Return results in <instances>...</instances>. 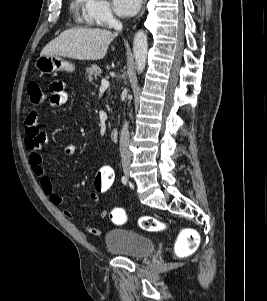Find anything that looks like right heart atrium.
<instances>
[{
	"instance_id": "1",
	"label": "right heart atrium",
	"mask_w": 267,
	"mask_h": 301,
	"mask_svg": "<svg viewBox=\"0 0 267 301\" xmlns=\"http://www.w3.org/2000/svg\"><path fill=\"white\" fill-rule=\"evenodd\" d=\"M85 19L89 24L110 27L115 16L107 0H87Z\"/></svg>"
}]
</instances>
